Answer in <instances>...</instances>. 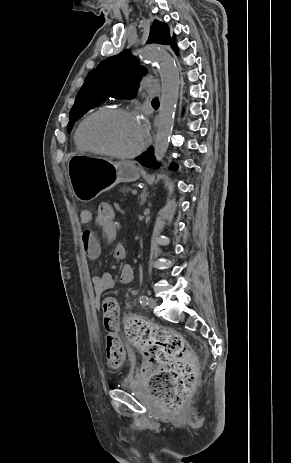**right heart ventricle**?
Here are the masks:
<instances>
[{"label":"right heart ventricle","mask_w":291,"mask_h":463,"mask_svg":"<svg viewBox=\"0 0 291 463\" xmlns=\"http://www.w3.org/2000/svg\"><path fill=\"white\" fill-rule=\"evenodd\" d=\"M102 110H106L105 107H101L97 110H95L93 113L95 112H98V111H102ZM91 113V114H93ZM90 114V115H91ZM88 117V116H87ZM85 119V118H84ZM84 119L79 123V125L77 126L76 130H75V134H74V141H75V145L77 147L78 150L80 151H87L88 149L84 147V145L81 143L80 139H79V136H78V132H79V127L81 125V123L84 121Z\"/></svg>","instance_id":"e07e8e85"}]
</instances>
